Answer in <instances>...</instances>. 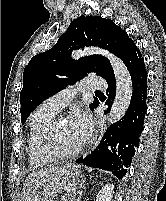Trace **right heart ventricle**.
<instances>
[{"label":"right heart ventricle","mask_w":166,"mask_h":201,"mask_svg":"<svg viewBox=\"0 0 166 201\" xmlns=\"http://www.w3.org/2000/svg\"><path fill=\"white\" fill-rule=\"evenodd\" d=\"M55 115L56 112L41 106L32 114L30 118L27 152L29 157V165L32 168L41 167L53 162L54 160L40 153L38 149V136L42 127Z\"/></svg>","instance_id":"1"}]
</instances>
